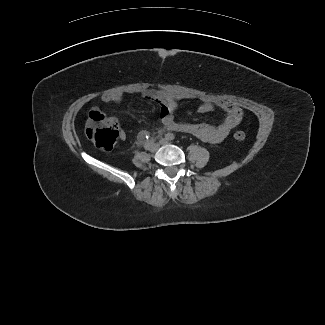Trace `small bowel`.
<instances>
[{"label":"small bowel","instance_id":"c3829d8e","mask_svg":"<svg viewBox=\"0 0 325 325\" xmlns=\"http://www.w3.org/2000/svg\"><path fill=\"white\" fill-rule=\"evenodd\" d=\"M142 98L148 101L156 102L160 105V116L164 129L168 131L182 132L194 135L208 143H220L223 141L241 121L243 113L236 105L222 99L212 98L207 95H199L196 93L179 91V90H162L147 88L139 91ZM125 99V95L121 91H108L100 96V100L105 103H120ZM186 99H196L201 102L198 107L200 113H207L215 107L226 113L224 120L217 126L208 123H185L179 122L175 118L177 111V101ZM91 111H100L97 107H93ZM126 136L123 130L120 131V137L124 139Z\"/></svg>","mask_w":325,"mask_h":325}]
</instances>
